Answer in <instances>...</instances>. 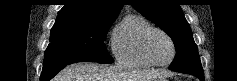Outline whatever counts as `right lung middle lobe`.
I'll list each match as a JSON object with an SVG mask.
<instances>
[{"label": "right lung middle lobe", "instance_id": "dd1d6c3e", "mask_svg": "<svg viewBox=\"0 0 237 81\" xmlns=\"http://www.w3.org/2000/svg\"><path fill=\"white\" fill-rule=\"evenodd\" d=\"M114 20L56 19L43 65L67 62L113 63L104 41Z\"/></svg>", "mask_w": 237, "mask_h": 81}]
</instances>
